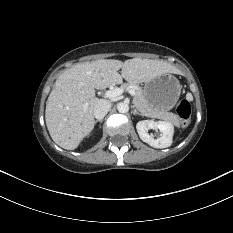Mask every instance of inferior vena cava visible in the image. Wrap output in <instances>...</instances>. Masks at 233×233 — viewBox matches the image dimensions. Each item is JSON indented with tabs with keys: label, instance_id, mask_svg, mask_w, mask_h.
Wrapping results in <instances>:
<instances>
[{
	"label": "inferior vena cava",
	"instance_id": "inferior-vena-cava-1",
	"mask_svg": "<svg viewBox=\"0 0 233 233\" xmlns=\"http://www.w3.org/2000/svg\"><path fill=\"white\" fill-rule=\"evenodd\" d=\"M110 109H111V103L105 99H100L98 100V102L94 107V112H93L94 117L97 120H102Z\"/></svg>",
	"mask_w": 233,
	"mask_h": 233
}]
</instances>
